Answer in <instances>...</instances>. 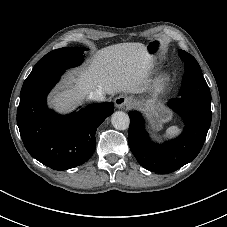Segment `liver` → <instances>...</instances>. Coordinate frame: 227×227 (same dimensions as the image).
<instances>
[{"mask_svg": "<svg viewBox=\"0 0 227 227\" xmlns=\"http://www.w3.org/2000/svg\"><path fill=\"white\" fill-rule=\"evenodd\" d=\"M153 64V56L142 43L111 45L95 54L91 64L78 75L70 76L51 99V105L59 111L71 108L74 102L82 101L91 91L104 94L138 92V85Z\"/></svg>", "mask_w": 227, "mask_h": 227, "instance_id": "liver-1", "label": "liver"}]
</instances>
